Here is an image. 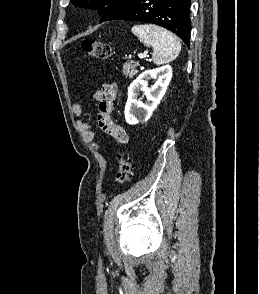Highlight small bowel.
<instances>
[{
    "label": "small bowel",
    "mask_w": 259,
    "mask_h": 294,
    "mask_svg": "<svg viewBox=\"0 0 259 294\" xmlns=\"http://www.w3.org/2000/svg\"><path fill=\"white\" fill-rule=\"evenodd\" d=\"M116 96L117 86L115 84H104L101 89L93 94V101L97 107V122L100 129L111 136L118 144L125 145L129 141L127 132L112 118V110ZM71 111L74 115H81L83 111L81 103H73ZM76 128L86 142H94L95 134L87 121L81 119L77 120Z\"/></svg>",
    "instance_id": "1"
}]
</instances>
